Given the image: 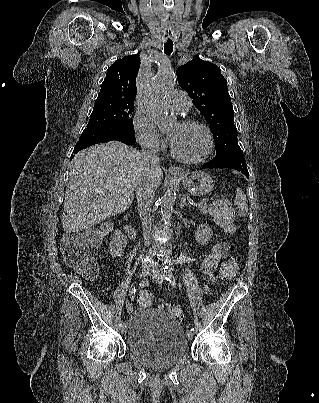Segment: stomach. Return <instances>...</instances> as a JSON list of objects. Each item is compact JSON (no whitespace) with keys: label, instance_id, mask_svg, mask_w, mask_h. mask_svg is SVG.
Wrapping results in <instances>:
<instances>
[{"label":"stomach","instance_id":"stomach-1","mask_svg":"<svg viewBox=\"0 0 319 403\" xmlns=\"http://www.w3.org/2000/svg\"><path fill=\"white\" fill-rule=\"evenodd\" d=\"M178 178L185 189L194 196H204L213 190V180L205 172L182 173Z\"/></svg>","mask_w":319,"mask_h":403}]
</instances>
